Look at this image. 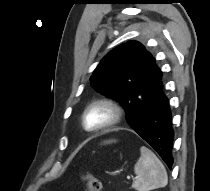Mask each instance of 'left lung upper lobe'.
I'll return each mask as SVG.
<instances>
[{"instance_id": "obj_1", "label": "left lung upper lobe", "mask_w": 210, "mask_h": 191, "mask_svg": "<svg viewBox=\"0 0 210 191\" xmlns=\"http://www.w3.org/2000/svg\"><path fill=\"white\" fill-rule=\"evenodd\" d=\"M160 72L151 53L141 43L129 41L101 60L90 81L97 91L120 101L132 122L138 103L152 90Z\"/></svg>"}]
</instances>
